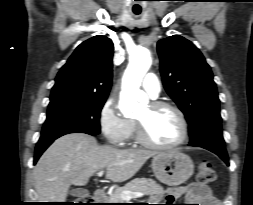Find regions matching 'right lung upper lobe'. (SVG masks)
<instances>
[{
	"label": "right lung upper lobe",
	"mask_w": 253,
	"mask_h": 205,
	"mask_svg": "<svg viewBox=\"0 0 253 205\" xmlns=\"http://www.w3.org/2000/svg\"><path fill=\"white\" fill-rule=\"evenodd\" d=\"M113 43L94 36L81 43L60 69L50 100L63 97H106L112 82Z\"/></svg>",
	"instance_id": "1"
}]
</instances>
